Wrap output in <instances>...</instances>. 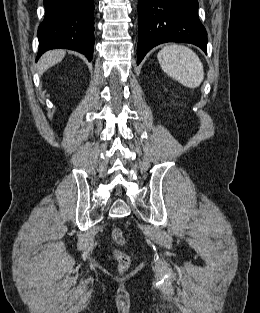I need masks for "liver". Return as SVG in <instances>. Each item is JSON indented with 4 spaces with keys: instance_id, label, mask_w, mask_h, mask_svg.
<instances>
[{
    "instance_id": "obj_1",
    "label": "liver",
    "mask_w": 260,
    "mask_h": 313,
    "mask_svg": "<svg viewBox=\"0 0 260 313\" xmlns=\"http://www.w3.org/2000/svg\"><path fill=\"white\" fill-rule=\"evenodd\" d=\"M66 52L61 49L51 50L43 54L37 63V71L39 74L44 73L47 69L62 61Z\"/></svg>"
}]
</instances>
